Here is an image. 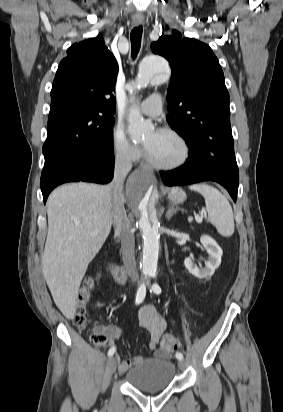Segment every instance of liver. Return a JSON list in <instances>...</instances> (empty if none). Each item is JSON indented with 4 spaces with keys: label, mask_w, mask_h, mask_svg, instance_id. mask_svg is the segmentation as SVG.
Listing matches in <instances>:
<instances>
[{
    "label": "liver",
    "mask_w": 283,
    "mask_h": 412,
    "mask_svg": "<svg viewBox=\"0 0 283 412\" xmlns=\"http://www.w3.org/2000/svg\"><path fill=\"white\" fill-rule=\"evenodd\" d=\"M47 215L43 275L59 310L73 319L88 264L111 231V190L83 182L62 185L50 194Z\"/></svg>",
    "instance_id": "obj_1"
}]
</instances>
